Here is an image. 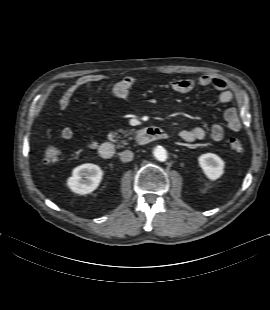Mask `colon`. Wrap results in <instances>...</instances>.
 Masks as SVG:
<instances>
[{"mask_svg":"<svg viewBox=\"0 0 270 310\" xmlns=\"http://www.w3.org/2000/svg\"><path fill=\"white\" fill-rule=\"evenodd\" d=\"M233 152L240 153L243 150V142L239 138H232L229 142ZM45 159L48 162L56 163L64 159L63 150L59 146H50L45 151Z\"/></svg>","mask_w":270,"mask_h":310,"instance_id":"obj_1","label":"colon"}]
</instances>
